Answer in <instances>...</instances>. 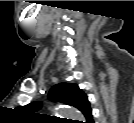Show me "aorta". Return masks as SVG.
Here are the masks:
<instances>
[{"instance_id": "aorta-1", "label": "aorta", "mask_w": 134, "mask_h": 123, "mask_svg": "<svg viewBox=\"0 0 134 123\" xmlns=\"http://www.w3.org/2000/svg\"><path fill=\"white\" fill-rule=\"evenodd\" d=\"M54 113L60 115L61 117L64 116L65 118L73 120L82 118V115L77 109L67 106L54 109Z\"/></svg>"}]
</instances>
